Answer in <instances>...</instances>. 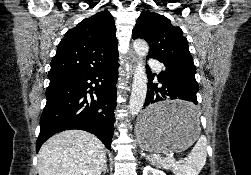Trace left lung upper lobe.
Instances as JSON below:
<instances>
[{
	"label": "left lung upper lobe",
	"mask_w": 251,
	"mask_h": 175,
	"mask_svg": "<svg viewBox=\"0 0 251 175\" xmlns=\"http://www.w3.org/2000/svg\"><path fill=\"white\" fill-rule=\"evenodd\" d=\"M133 39L149 43L148 55L161 58L165 63L196 71L188 41L180 27L173 26L168 18L151 11H142L132 33Z\"/></svg>",
	"instance_id": "left-lung-upper-lobe-1"
}]
</instances>
